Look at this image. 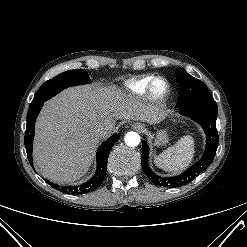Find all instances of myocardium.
Instances as JSON below:
<instances>
[{
  "mask_svg": "<svg viewBox=\"0 0 247 247\" xmlns=\"http://www.w3.org/2000/svg\"><path fill=\"white\" fill-rule=\"evenodd\" d=\"M158 83L163 84L162 90H157L156 85ZM170 93H171V85L169 81L162 76L153 77L147 87V94L149 98L155 102L165 101L170 96Z\"/></svg>",
  "mask_w": 247,
  "mask_h": 247,
  "instance_id": "1",
  "label": "myocardium"
}]
</instances>
